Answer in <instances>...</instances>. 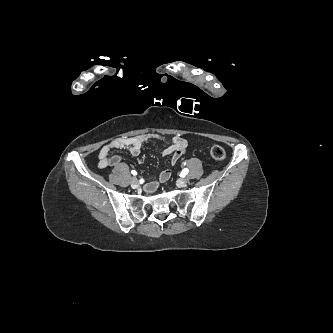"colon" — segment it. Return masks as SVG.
<instances>
[{
    "instance_id": "5ec220e1",
    "label": "colon",
    "mask_w": 333,
    "mask_h": 333,
    "mask_svg": "<svg viewBox=\"0 0 333 333\" xmlns=\"http://www.w3.org/2000/svg\"><path fill=\"white\" fill-rule=\"evenodd\" d=\"M210 155L216 161H222L226 157L225 150L218 145H215L210 149Z\"/></svg>"
}]
</instances>
